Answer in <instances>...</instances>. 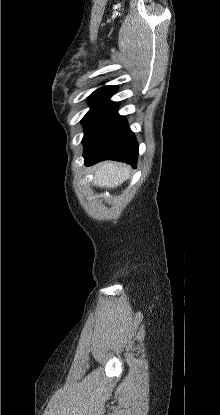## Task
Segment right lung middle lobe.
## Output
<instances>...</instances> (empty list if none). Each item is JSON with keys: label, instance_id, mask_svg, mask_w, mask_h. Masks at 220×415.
<instances>
[{"label": "right lung middle lobe", "instance_id": "obj_1", "mask_svg": "<svg viewBox=\"0 0 220 415\" xmlns=\"http://www.w3.org/2000/svg\"><path fill=\"white\" fill-rule=\"evenodd\" d=\"M116 90V86H104L88 97V100L92 103V108L82 119L85 129L82 140L84 151H88L93 147L109 121L116 115L118 103L109 100Z\"/></svg>", "mask_w": 220, "mask_h": 415}]
</instances>
